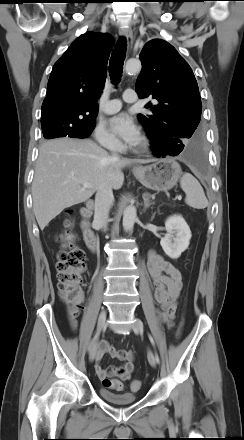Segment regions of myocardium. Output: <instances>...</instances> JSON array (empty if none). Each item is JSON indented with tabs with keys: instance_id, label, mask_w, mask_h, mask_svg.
<instances>
[{
	"instance_id": "myocardium-1",
	"label": "myocardium",
	"mask_w": 244,
	"mask_h": 440,
	"mask_svg": "<svg viewBox=\"0 0 244 440\" xmlns=\"http://www.w3.org/2000/svg\"><path fill=\"white\" fill-rule=\"evenodd\" d=\"M150 144H151V142H150L149 137L147 135H142L139 138V141L137 142L135 149L139 150V151H144L150 147Z\"/></svg>"
}]
</instances>
